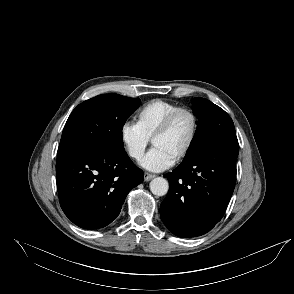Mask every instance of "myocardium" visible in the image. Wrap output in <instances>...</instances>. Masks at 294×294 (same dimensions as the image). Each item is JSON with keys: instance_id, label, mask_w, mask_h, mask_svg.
Listing matches in <instances>:
<instances>
[{"instance_id": "f54148a6", "label": "myocardium", "mask_w": 294, "mask_h": 294, "mask_svg": "<svg viewBox=\"0 0 294 294\" xmlns=\"http://www.w3.org/2000/svg\"><path fill=\"white\" fill-rule=\"evenodd\" d=\"M181 114H187L190 116L192 120V131L186 146L176 157V161L178 162L183 160L190 153V151L192 150L196 142L198 131H199V119L196 113L189 107L182 106V107L176 108L163 120L161 125L158 127V129L155 131L154 135L152 136V143H154V141L158 137L166 134L170 130V128L172 127L177 117Z\"/></svg>"}]
</instances>
